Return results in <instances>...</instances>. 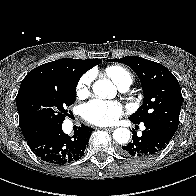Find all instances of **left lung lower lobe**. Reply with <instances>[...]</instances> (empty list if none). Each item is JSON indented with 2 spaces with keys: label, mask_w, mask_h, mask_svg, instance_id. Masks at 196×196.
Segmentation results:
<instances>
[{
  "label": "left lung lower lobe",
  "mask_w": 196,
  "mask_h": 196,
  "mask_svg": "<svg viewBox=\"0 0 196 196\" xmlns=\"http://www.w3.org/2000/svg\"><path fill=\"white\" fill-rule=\"evenodd\" d=\"M134 124H139L129 118ZM146 129L142 136L138 137L133 131L132 141L122 147V153L135 158H145L153 156L166 148L174 136L169 130L157 122H143Z\"/></svg>",
  "instance_id": "0a47b994"
}]
</instances>
